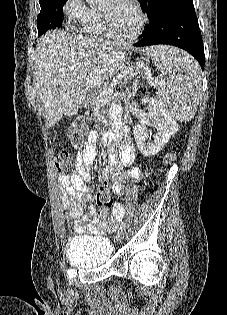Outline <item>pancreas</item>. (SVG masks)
Instances as JSON below:
<instances>
[{"mask_svg":"<svg viewBox=\"0 0 227 315\" xmlns=\"http://www.w3.org/2000/svg\"><path fill=\"white\" fill-rule=\"evenodd\" d=\"M148 68L145 65H134L130 69H127L128 73L124 74L123 81L120 79L116 84L122 85L128 80L137 81L142 75H147ZM95 80L93 85L87 84V92L89 93V103L90 106H98L101 104V101L105 98L101 97L100 94L107 89H111L112 85L109 84V81H104L100 76L91 77Z\"/></svg>","mask_w":227,"mask_h":315,"instance_id":"cf45deb5","label":"pancreas"}]
</instances>
